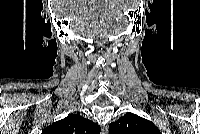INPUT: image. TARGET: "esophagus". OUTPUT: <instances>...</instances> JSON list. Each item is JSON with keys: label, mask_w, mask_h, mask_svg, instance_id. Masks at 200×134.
<instances>
[{"label": "esophagus", "mask_w": 200, "mask_h": 134, "mask_svg": "<svg viewBox=\"0 0 200 134\" xmlns=\"http://www.w3.org/2000/svg\"><path fill=\"white\" fill-rule=\"evenodd\" d=\"M101 134H108V128H107V126L102 127Z\"/></svg>", "instance_id": "esophagus-1"}]
</instances>
